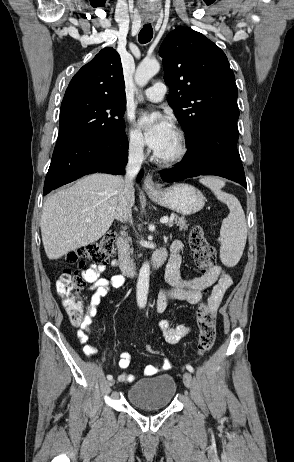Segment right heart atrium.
<instances>
[{
    "label": "right heart atrium",
    "mask_w": 294,
    "mask_h": 462,
    "mask_svg": "<svg viewBox=\"0 0 294 462\" xmlns=\"http://www.w3.org/2000/svg\"><path fill=\"white\" fill-rule=\"evenodd\" d=\"M128 148L135 156L141 157L144 154V140L141 134L133 128H130L128 131Z\"/></svg>",
    "instance_id": "d8ad5b80"
}]
</instances>
